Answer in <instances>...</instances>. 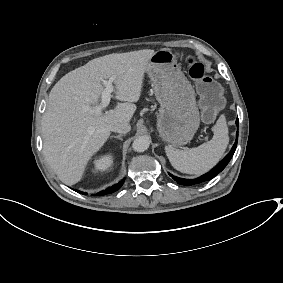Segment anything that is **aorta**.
<instances>
[{
  "label": "aorta",
  "mask_w": 283,
  "mask_h": 283,
  "mask_svg": "<svg viewBox=\"0 0 283 283\" xmlns=\"http://www.w3.org/2000/svg\"><path fill=\"white\" fill-rule=\"evenodd\" d=\"M150 141L146 136H139L137 137L133 143L132 148L136 152H144L149 148Z\"/></svg>",
  "instance_id": "1"
}]
</instances>
